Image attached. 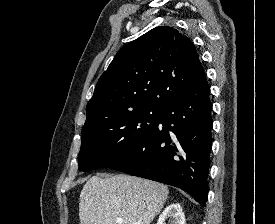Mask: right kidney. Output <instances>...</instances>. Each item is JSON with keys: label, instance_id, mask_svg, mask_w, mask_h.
Instances as JSON below:
<instances>
[{"label": "right kidney", "instance_id": "1", "mask_svg": "<svg viewBox=\"0 0 275 224\" xmlns=\"http://www.w3.org/2000/svg\"><path fill=\"white\" fill-rule=\"evenodd\" d=\"M166 220H169L170 224H185V215L178 203H173L166 207L159 216L157 224H166Z\"/></svg>", "mask_w": 275, "mask_h": 224}]
</instances>
